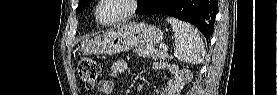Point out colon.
<instances>
[{"label": "colon", "instance_id": "colon-1", "mask_svg": "<svg viewBox=\"0 0 277 95\" xmlns=\"http://www.w3.org/2000/svg\"><path fill=\"white\" fill-rule=\"evenodd\" d=\"M77 72L87 89H93L99 73V65L92 58H84L77 65Z\"/></svg>", "mask_w": 277, "mask_h": 95}]
</instances>
